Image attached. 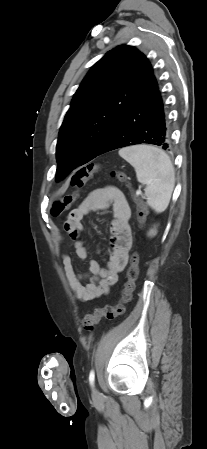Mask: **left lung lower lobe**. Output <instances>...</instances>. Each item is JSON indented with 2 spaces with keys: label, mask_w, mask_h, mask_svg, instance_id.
<instances>
[{
  "label": "left lung lower lobe",
  "mask_w": 207,
  "mask_h": 449,
  "mask_svg": "<svg viewBox=\"0 0 207 449\" xmlns=\"http://www.w3.org/2000/svg\"><path fill=\"white\" fill-rule=\"evenodd\" d=\"M170 141L166 108L154 76L147 90L111 132L96 156L135 144H153L169 150Z\"/></svg>",
  "instance_id": "obj_1"
}]
</instances>
